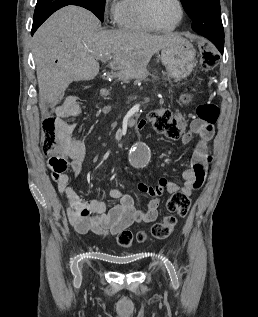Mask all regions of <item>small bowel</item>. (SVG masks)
<instances>
[{
  "label": "small bowel",
  "instance_id": "c3829d8e",
  "mask_svg": "<svg viewBox=\"0 0 258 317\" xmlns=\"http://www.w3.org/2000/svg\"><path fill=\"white\" fill-rule=\"evenodd\" d=\"M82 107V103L75 97L67 98L57 107L56 112L60 115L62 126V153L51 156L48 161L59 194L68 200V220L78 233L116 235L134 223L154 222L158 217L159 197L164 190L170 194L181 192L189 196L205 181L208 167L212 162L209 142L214 130L212 124L195 118L181 138V143L187 144L193 137H198L190 166L182 172V185L165 178H161L156 185L140 183L138 189L151 197L145 209L136 208L133 197L119 189L111 191L112 198L118 200L117 204L111 207L103 201L79 197L72 185V179L77 178L82 170L86 148L84 141L73 136L69 120L78 116ZM145 125L146 121L142 120L137 127L142 129ZM68 169L72 175L67 172Z\"/></svg>",
  "mask_w": 258,
  "mask_h": 317
}]
</instances>
